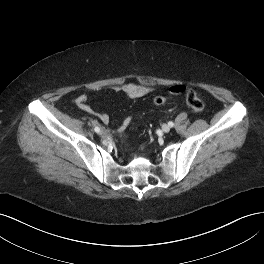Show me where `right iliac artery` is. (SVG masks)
Listing matches in <instances>:
<instances>
[{
    "label": "right iliac artery",
    "mask_w": 264,
    "mask_h": 264,
    "mask_svg": "<svg viewBox=\"0 0 264 264\" xmlns=\"http://www.w3.org/2000/svg\"><path fill=\"white\" fill-rule=\"evenodd\" d=\"M94 130H95V132H97V133L100 132V128H99L98 126H96V127L94 128Z\"/></svg>",
    "instance_id": "82829eb1"
}]
</instances>
